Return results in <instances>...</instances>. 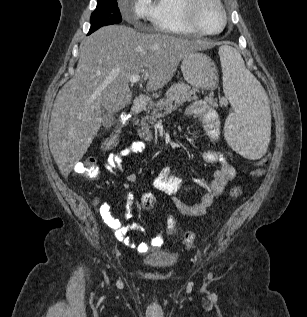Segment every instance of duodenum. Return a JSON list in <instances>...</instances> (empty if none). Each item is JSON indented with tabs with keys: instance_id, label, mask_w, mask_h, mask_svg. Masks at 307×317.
Wrapping results in <instances>:
<instances>
[{
	"instance_id": "1",
	"label": "duodenum",
	"mask_w": 307,
	"mask_h": 317,
	"mask_svg": "<svg viewBox=\"0 0 307 317\" xmlns=\"http://www.w3.org/2000/svg\"><path fill=\"white\" fill-rule=\"evenodd\" d=\"M146 106V100L142 97L136 98L131 106L132 114H138L144 110Z\"/></svg>"
}]
</instances>
